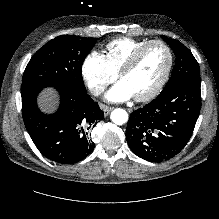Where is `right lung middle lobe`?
Segmentation results:
<instances>
[{
  "label": "right lung middle lobe",
  "mask_w": 219,
  "mask_h": 219,
  "mask_svg": "<svg viewBox=\"0 0 219 219\" xmlns=\"http://www.w3.org/2000/svg\"><path fill=\"white\" fill-rule=\"evenodd\" d=\"M98 38L61 35L40 48L28 63L21 95L39 93L46 87H71L86 92L82 64Z\"/></svg>",
  "instance_id": "dd1d6c3e"
}]
</instances>
